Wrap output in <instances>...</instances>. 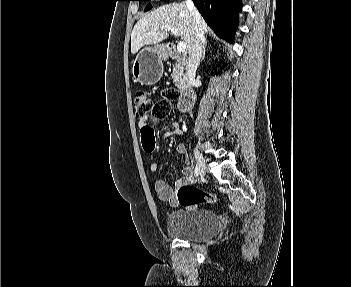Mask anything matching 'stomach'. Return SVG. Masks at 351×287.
<instances>
[{
	"label": "stomach",
	"mask_w": 351,
	"mask_h": 287,
	"mask_svg": "<svg viewBox=\"0 0 351 287\" xmlns=\"http://www.w3.org/2000/svg\"><path fill=\"white\" fill-rule=\"evenodd\" d=\"M166 52L161 46L145 47L133 61L132 74L136 82L143 85H154L162 77L163 59Z\"/></svg>",
	"instance_id": "1"
}]
</instances>
